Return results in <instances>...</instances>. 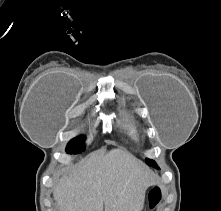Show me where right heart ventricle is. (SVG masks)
Here are the masks:
<instances>
[{
	"label": "right heart ventricle",
	"mask_w": 221,
	"mask_h": 211,
	"mask_svg": "<svg viewBox=\"0 0 221 211\" xmlns=\"http://www.w3.org/2000/svg\"><path fill=\"white\" fill-rule=\"evenodd\" d=\"M125 130L130 138H132L133 140H137L138 131L135 126V123L130 118H127L125 121Z\"/></svg>",
	"instance_id": "right-heart-ventricle-1"
}]
</instances>
